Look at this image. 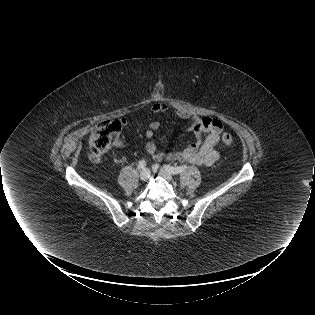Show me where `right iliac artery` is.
Instances as JSON below:
<instances>
[{"label": "right iliac artery", "instance_id": "1", "mask_svg": "<svg viewBox=\"0 0 315 315\" xmlns=\"http://www.w3.org/2000/svg\"><path fill=\"white\" fill-rule=\"evenodd\" d=\"M145 166H146V161L145 160L139 161V164H138V168L139 169H143V168H145Z\"/></svg>", "mask_w": 315, "mask_h": 315}]
</instances>
